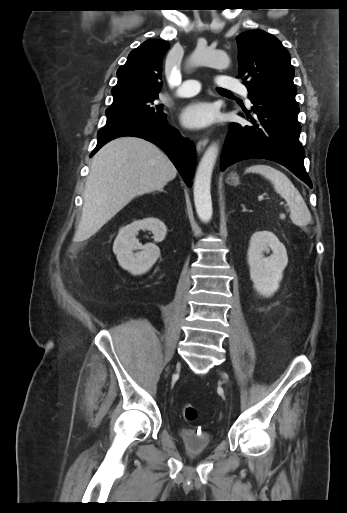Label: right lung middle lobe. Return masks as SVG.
I'll return each mask as SVG.
<instances>
[{"label":"right lung middle lobe","instance_id":"right-lung-middle-lobe-1","mask_svg":"<svg viewBox=\"0 0 347 513\" xmlns=\"http://www.w3.org/2000/svg\"><path fill=\"white\" fill-rule=\"evenodd\" d=\"M157 99L158 95H151L128 97L115 101L106 110L107 122L128 117H140L158 121L165 114L162 111L163 105L155 103Z\"/></svg>","mask_w":347,"mask_h":513}]
</instances>
